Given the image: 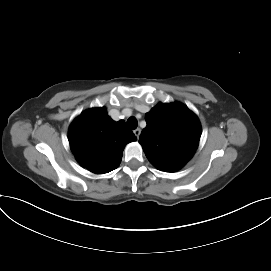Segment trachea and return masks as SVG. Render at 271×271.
<instances>
[{"instance_id":"trachea-1","label":"trachea","mask_w":271,"mask_h":271,"mask_svg":"<svg viewBox=\"0 0 271 271\" xmlns=\"http://www.w3.org/2000/svg\"><path fill=\"white\" fill-rule=\"evenodd\" d=\"M127 125L130 129L134 130L137 128L138 126V122L136 120L135 117H130L128 120H127Z\"/></svg>"}]
</instances>
